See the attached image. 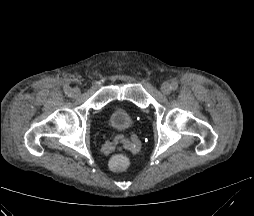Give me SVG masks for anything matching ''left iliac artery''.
Returning <instances> with one entry per match:
<instances>
[{"label": "left iliac artery", "instance_id": "44dca946", "mask_svg": "<svg viewBox=\"0 0 254 216\" xmlns=\"http://www.w3.org/2000/svg\"><path fill=\"white\" fill-rule=\"evenodd\" d=\"M177 88H178V83L177 82L171 83V89L172 90H177Z\"/></svg>", "mask_w": 254, "mask_h": 216}]
</instances>
